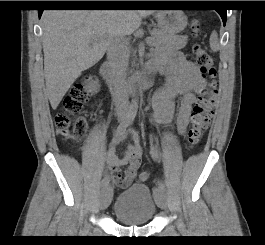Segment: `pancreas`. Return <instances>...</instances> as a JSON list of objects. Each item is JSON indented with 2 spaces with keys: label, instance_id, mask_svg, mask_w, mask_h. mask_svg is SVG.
<instances>
[{
  "label": "pancreas",
  "instance_id": "cf45deb5",
  "mask_svg": "<svg viewBox=\"0 0 265 245\" xmlns=\"http://www.w3.org/2000/svg\"><path fill=\"white\" fill-rule=\"evenodd\" d=\"M151 45L161 50H179L186 46L187 36H176L168 34L160 29L152 31Z\"/></svg>",
  "mask_w": 265,
  "mask_h": 245
}]
</instances>
